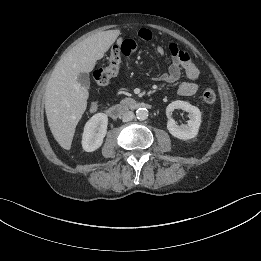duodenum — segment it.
<instances>
[{
	"label": "duodenum",
	"instance_id": "1",
	"mask_svg": "<svg viewBox=\"0 0 261 261\" xmlns=\"http://www.w3.org/2000/svg\"><path fill=\"white\" fill-rule=\"evenodd\" d=\"M149 107H150V105L148 103L130 100V101H127L122 104L112 105L111 107L108 108L107 114L112 119H118L125 112H127L129 110H135V109H140V108H149Z\"/></svg>",
	"mask_w": 261,
	"mask_h": 261
}]
</instances>
